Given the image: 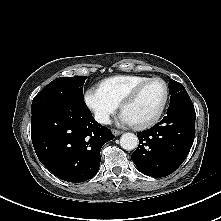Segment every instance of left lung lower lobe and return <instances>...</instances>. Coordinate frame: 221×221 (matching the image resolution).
I'll use <instances>...</instances> for the list:
<instances>
[{
  "mask_svg": "<svg viewBox=\"0 0 221 221\" xmlns=\"http://www.w3.org/2000/svg\"><path fill=\"white\" fill-rule=\"evenodd\" d=\"M192 101L169 105L167 115L150 130L137 132L139 146L131 159L145 175L160 178L173 173L187 157L195 138Z\"/></svg>",
  "mask_w": 221,
  "mask_h": 221,
  "instance_id": "left-lung-lower-lobe-1",
  "label": "left lung lower lobe"
}]
</instances>
